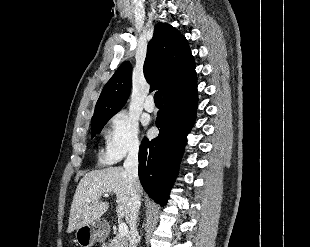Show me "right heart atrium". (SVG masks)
Listing matches in <instances>:
<instances>
[{
    "instance_id": "right-heart-atrium-1",
    "label": "right heart atrium",
    "mask_w": 310,
    "mask_h": 247,
    "mask_svg": "<svg viewBox=\"0 0 310 247\" xmlns=\"http://www.w3.org/2000/svg\"><path fill=\"white\" fill-rule=\"evenodd\" d=\"M140 149L137 121L125 111L115 114L105 134L103 159L115 163L126 156L137 155Z\"/></svg>"
}]
</instances>
